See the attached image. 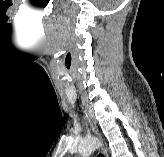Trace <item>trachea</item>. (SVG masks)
I'll use <instances>...</instances> for the list:
<instances>
[{
	"label": "trachea",
	"mask_w": 164,
	"mask_h": 157,
	"mask_svg": "<svg viewBox=\"0 0 164 157\" xmlns=\"http://www.w3.org/2000/svg\"><path fill=\"white\" fill-rule=\"evenodd\" d=\"M98 157H104L102 154H99V156Z\"/></svg>",
	"instance_id": "trachea-1"
}]
</instances>
